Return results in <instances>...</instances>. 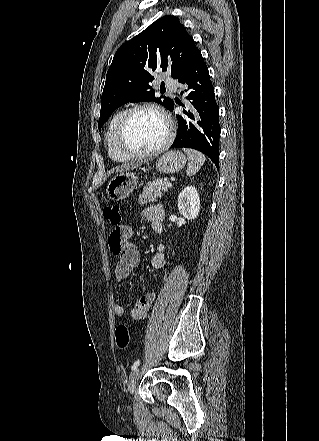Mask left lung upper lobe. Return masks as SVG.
<instances>
[{"label": "left lung upper lobe", "mask_w": 319, "mask_h": 441, "mask_svg": "<svg viewBox=\"0 0 319 441\" xmlns=\"http://www.w3.org/2000/svg\"><path fill=\"white\" fill-rule=\"evenodd\" d=\"M200 53L178 18L166 15L121 46L107 72L101 97L99 130L111 114L128 102L155 101L170 109L173 100L155 97L149 83L162 68L178 79Z\"/></svg>", "instance_id": "5c2ea615"}]
</instances>
